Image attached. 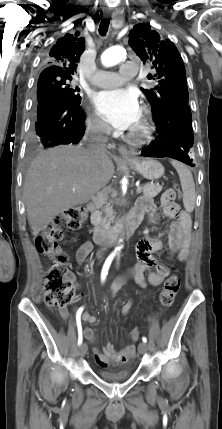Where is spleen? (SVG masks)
Returning <instances> with one entry per match:
<instances>
[{"label": "spleen", "instance_id": "1", "mask_svg": "<svg viewBox=\"0 0 222 429\" xmlns=\"http://www.w3.org/2000/svg\"><path fill=\"white\" fill-rule=\"evenodd\" d=\"M172 166L176 169L183 191V205L188 213H191L195 207L196 192L195 183L190 170L181 162L176 160L171 161Z\"/></svg>", "mask_w": 222, "mask_h": 429}]
</instances>
